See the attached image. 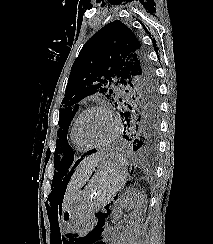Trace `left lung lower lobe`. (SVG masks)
Returning <instances> with one entry per match:
<instances>
[{
    "instance_id": "left-lung-lower-lobe-1",
    "label": "left lung lower lobe",
    "mask_w": 213,
    "mask_h": 244,
    "mask_svg": "<svg viewBox=\"0 0 213 244\" xmlns=\"http://www.w3.org/2000/svg\"><path fill=\"white\" fill-rule=\"evenodd\" d=\"M121 116L124 118L125 123L123 138L128 142L130 148L141 156L153 157L157 152L158 123L151 120L137 121L127 113L121 114ZM94 152L90 150L82 157ZM79 162L80 160L75 163L73 168Z\"/></svg>"
}]
</instances>
